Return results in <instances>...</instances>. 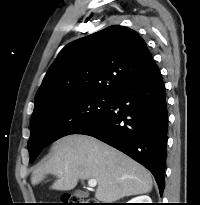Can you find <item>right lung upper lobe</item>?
I'll return each instance as SVG.
<instances>
[{
  "mask_svg": "<svg viewBox=\"0 0 200 205\" xmlns=\"http://www.w3.org/2000/svg\"><path fill=\"white\" fill-rule=\"evenodd\" d=\"M154 65L145 41L113 25L66 45L35 96L32 117L57 102L86 95L112 97Z\"/></svg>",
  "mask_w": 200,
  "mask_h": 205,
  "instance_id": "1",
  "label": "right lung upper lobe"
}]
</instances>
